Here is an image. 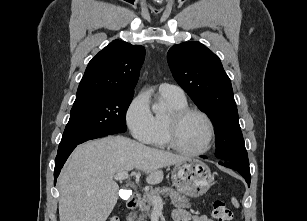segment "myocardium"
I'll use <instances>...</instances> for the list:
<instances>
[{"instance_id": "obj_1", "label": "myocardium", "mask_w": 307, "mask_h": 221, "mask_svg": "<svg viewBox=\"0 0 307 221\" xmlns=\"http://www.w3.org/2000/svg\"><path fill=\"white\" fill-rule=\"evenodd\" d=\"M190 114H197L201 116L207 123L209 128V137L208 142L205 148L198 151H191L181 147L177 141L178 130L181 122ZM216 138V129L215 124L212 118L203 110L195 107H184L180 109H175L171 111L167 117V145L172 148L174 151L187 155V156H202L208 153L214 143Z\"/></svg>"}]
</instances>
